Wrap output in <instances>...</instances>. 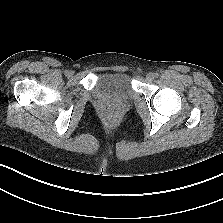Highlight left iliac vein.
<instances>
[{
  "instance_id": "1",
  "label": "left iliac vein",
  "mask_w": 223,
  "mask_h": 223,
  "mask_svg": "<svg viewBox=\"0 0 223 223\" xmlns=\"http://www.w3.org/2000/svg\"><path fill=\"white\" fill-rule=\"evenodd\" d=\"M154 78H155V74L152 73V72H149V73L146 75V79H147L148 81H152Z\"/></svg>"
}]
</instances>
